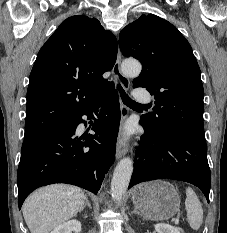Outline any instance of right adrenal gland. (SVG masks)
<instances>
[{"mask_svg":"<svg viewBox=\"0 0 227 233\" xmlns=\"http://www.w3.org/2000/svg\"><path fill=\"white\" fill-rule=\"evenodd\" d=\"M86 206H88L91 209V204L87 197H86V201H85L83 208L80 210V213L86 208Z\"/></svg>","mask_w":227,"mask_h":233,"instance_id":"obj_1","label":"right adrenal gland"}]
</instances>
